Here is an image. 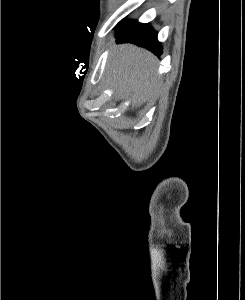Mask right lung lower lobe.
Wrapping results in <instances>:
<instances>
[{
  "mask_svg": "<svg viewBox=\"0 0 245 300\" xmlns=\"http://www.w3.org/2000/svg\"><path fill=\"white\" fill-rule=\"evenodd\" d=\"M116 41L117 43L131 42L152 51L155 55L162 54V45L157 39V32L150 24L136 23L117 34Z\"/></svg>",
  "mask_w": 245,
  "mask_h": 300,
  "instance_id": "98d812e1",
  "label": "right lung lower lobe"
}]
</instances>
